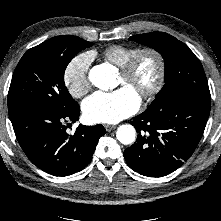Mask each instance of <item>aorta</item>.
I'll return each mask as SVG.
<instances>
[{
	"mask_svg": "<svg viewBox=\"0 0 221 221\" xmlns=\"http://www.w3.org/2000/svg\"><path fill=\"white\" fill-rule=\"evenodd\" d=\"M114 76V72L104 65L93 67L89 73L92 84L105 91L113 88ZM116 137L124 145L132 144L136 139V130L129 124L120 125L117 128Z\"/></svg>",
	"mask_w": 221,
	"mask_h": 221,
	"instance_id": "aorta-1",
	"label": "aorta"
}]
</instances>
